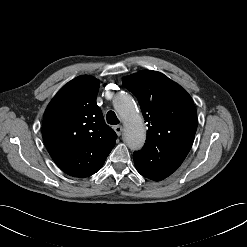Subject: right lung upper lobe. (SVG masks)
Wrapping results in <instances>:
<instances>
[{
    "label": "right lung upper lobe",
    "mask_w": 247,
    "mask_h": 247,
    "mask_svg": "<svg viewBox=\"0 0 247 247\" xmlns=\"http://www.w3.org/2000/svg\"><path fill=\"white\" fill-rule=\"evenodd\" d=\"M99 81L88 75L68 82L43 117L42 136L56 165L73 177L96 173L113 149L117 135L96 104Z\"/></svg>",
    "instance_id": "1"
}]
</instances>
